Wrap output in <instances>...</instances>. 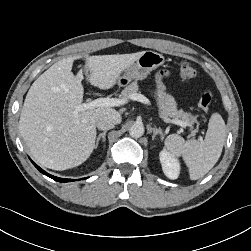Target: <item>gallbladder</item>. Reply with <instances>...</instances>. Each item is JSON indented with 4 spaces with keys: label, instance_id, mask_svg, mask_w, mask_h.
Wrapping results in <instances>:
<instances>
[{
    "label": "gallbladder",
    "instance_id": "obj_1",
    "mask_svg": "<svg viewBox=\"0 0 251 251\" xmlns=\"http://www.w3.org/2000/svg\"><path fill=\"white\" fill-rule=\"evenodd\" d=\"M84 73L87 77L89 76V71L86 68L84 69Z\"/></svg>",
    "mask_w": 251,
    "mask_h": 251
}]
</instances>
